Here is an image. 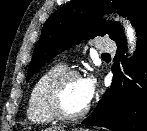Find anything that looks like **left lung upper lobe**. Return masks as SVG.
Returning <instances> with one entry per match:
<instances>
[{
  "label": "left lung upper lobe",
  "mask_w": 147,
  "mask_h": 131,
  "mask_svg": "<svg viewBox=\"0 0 147 131\" xmlns=\"http://www.w3.org/2000/svg\"><path fill=\"white\" fill-rule=\"evenodd\" d=\"M114 12L127 17L138 32L147 23V0H73L56 10L42 28L26 81L49 60L82 39L109 35L115 42L126 40L119 23L99 21V16Z\"/></svg>",
  "instance_id": "1"
}]
</instances>
